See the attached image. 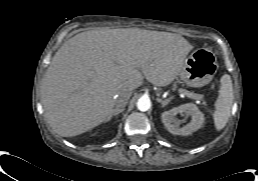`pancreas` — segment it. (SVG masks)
<instances>
[{"mask_svg": "<svg viewBox=\"0 0 258 181\" xmlns=\"http://www.w3.org/2000/svg\"><path fill=\"white\" fill-rule=\"evenodd\" d=\"M197 95H198L197 99H199V100H203V98H204V96H203V95H201V94H197Z\"/></svg>", "mask_w": 258, "mask_h": 181, "instance_id": "obj_1", "label": "pancreas"}]
</instances>
